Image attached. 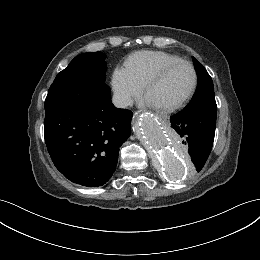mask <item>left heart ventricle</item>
Listing matches in <instances>:
<instances>
[{
  "label": "left heart ventricle",
  "instance_id": "1",
  "mask_svg": "<svg viewBox=\"0 0 260 260\" xmlns=\"http://www.w3.org/2000/svg\"><path fill=\"white\" fill-rule=\"evenodd\" d=\"M192 73L189 66L180 64L169 70L148 94V99L157 106L170 104L180 99L190 86Z\"/></svg>",
  "mask_w": 260,
  "mask_h": 260
}]
</instances>
